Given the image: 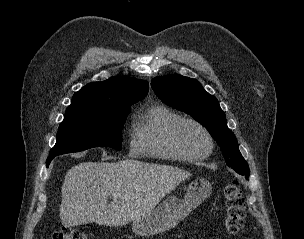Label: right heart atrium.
<instances>
[{"mask_svg":"<svg viewBox=\"0 0 304 239\" xmlns=\"http://www.w3.org/2000/svg\"><path fill=\"white\" fill-rule=\"evenodd\" d=\"M129 148L133 152H137V150L139 149V138H138L135 130H133L131 132V134H130V137H129Z\"/></svg>","mask_w":304,"mask_h":239,"instance_id":"d8ad5b80","label":"right heart atrium"}]
</instances>
